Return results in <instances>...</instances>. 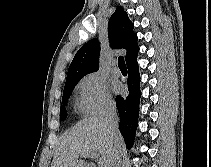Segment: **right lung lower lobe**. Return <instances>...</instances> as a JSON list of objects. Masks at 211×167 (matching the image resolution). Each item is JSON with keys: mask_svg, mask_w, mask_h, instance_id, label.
Here are the masks:
<instances>
[{"mask_svg": "<svg viewBox=\"0 0 211 167\" xmlns=\"http://www.w3.org/2000/svg\"><path fill=\"white\" fill-rule=\"evenodd\" d=\"M128 68V91L126 97L117 96L116 106L120 116L119 129L128 148L134 143V135L138 124L139 101H140V75L137 58L127 64Z\"/></svg>", "mask_w": 211, "mask_h": 167, "instance_id": "right-lung-lower-lobe-1", "label": "right lung lower lobe"}]
</instances>
